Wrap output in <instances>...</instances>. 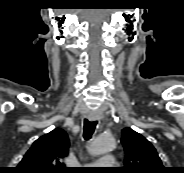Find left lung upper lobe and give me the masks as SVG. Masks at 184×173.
<instances>
[{
    "mask_svg": "<svg viewBox=\"0 0 184 173\" xmlns=\"http://www.w3.org/2000/svg\"><path fill=\"white\" fill-rule=\"evenodd\" d=\"M121 143L125 151L120 173H165V167L153 145L131 128L122 130Z\"/></svg>",
    "mask_w": 184,
    "mask_h": 173,
    "instance_id": "5c2ea615",
    "label": "left lung upper lobe"
}]
</instances>
